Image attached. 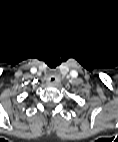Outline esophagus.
<instances>
[{
  "label": "esophagus",
  "instance_id": "obj_1",
  "mask_svg": "<svg viewBox=\"0 0 118 142\" xmlns=\"http://www.w3.org/2000/svg\"><path fill=\"white\" fill-rule=\"evenodd\" d=\"M57 81H58V78L55 75H53V74L48 75L47 84L54 85V84H56Z\"/></svg>",
  "mask_w": 118,
  "mask_h": 142
}]
</instances>
